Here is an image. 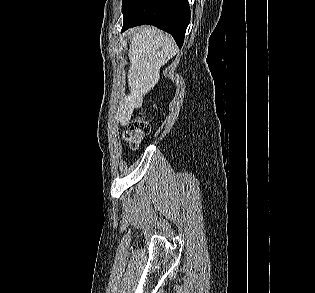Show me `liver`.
<instances>
[{"label":"liver","mask_w":315,"mask_h":293,"mask_svg":"<svg viewBox=\"0 0 315 293\" xmlns=\"http://www.w3.org/2000/svg\"><path fill=\"white\" fill-rule=\"evenodd\" d=\"M130 40L128 86L130 93L120 102L118 120L127 125L133 110L142 106L143 97L158 83L160 68L176 53L172 37L155 27L144 26L127 32Z\"/></svg>","instance_id":"obj_1"}]
</instances>
